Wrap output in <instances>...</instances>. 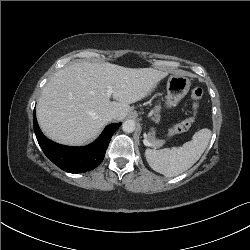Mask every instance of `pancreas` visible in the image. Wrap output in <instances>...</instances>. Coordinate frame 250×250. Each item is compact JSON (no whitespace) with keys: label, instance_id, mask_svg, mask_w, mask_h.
<instances>
[{"label":"pancreas","instance_id":"obj_1","mask_svg":"<svg viewBox=\"0 0 250 250\" xmlns=\"http://www.w3.org/2000/svg\"><path fill=\"white\" fill-rule=\"evenodd\" d=\"M159 111H160V106H156L155 107V119H156V121H159V119H160V115L158 114ZM148 140L154 146H157L162 142L161 140H157L155 138V133L154 132H152L151 134H148Z\"/></svg>","mask_w":250,"mask_h":250}]
</instances>
